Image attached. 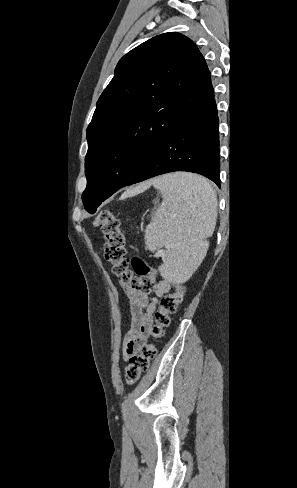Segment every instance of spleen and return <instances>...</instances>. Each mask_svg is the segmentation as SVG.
I'll use <instances>...</instances> for the list:
<instances>
[{
  "label": "spleen",
  "mask_w": 297,
  "mask_h": 488,
  "mask_svg": "<svg viewBox=\"0 0 297 488\" xmlns=\"http://www.w3.org/2000/svg\"><path fill=\"white\" fill-rule=\"evenodd\" d=\"M163 201L145 230L149 250L167 247L159 271L164 278L181 281L189 266L197 265L199 246L212 235L217 199L209 182L197 175L170 173L153 180Z\"/></svg>",
  "instance_id": "1"
}]
</instances>
